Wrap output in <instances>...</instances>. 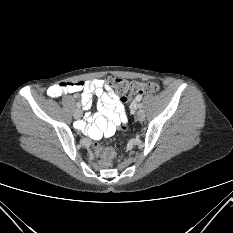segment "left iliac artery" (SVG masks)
Instances as JSON below:
<instances>
[{
    "label": "left iliac artery",
    "instance_id": "1",
    "mask_svg": "<svg viewBox=\"0 0 233 233\" xmlns=\"http://www.w3.org/2000/svg\"><path fill=\"white\" fill-rule=\"evenodd\" d=\"M141 98H142L141 96H137L136 100H137V101H140ZM138 108H142V104H138Z\"/></svg>",
    "mask_w": 233,
    "mask_h": 233
}]
</instances>
